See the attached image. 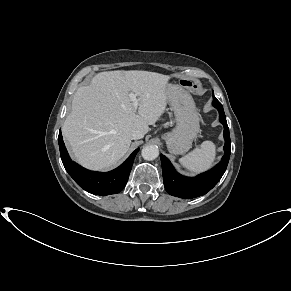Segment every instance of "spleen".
<instances>
[{
  "label": "spleen",
  "instance_id": "obj_1",
  "mask_svg": "<svg viewBox=\"0 0 291 291\" xmlns=\"http://www.w3.org/2000/svg\"><path fill=\"white\" fill-rule=\"evenodd\" d=\"M216 156V146L212 141H204L200 147L182 157L179 162L181 165L194 173L208 170Z\"/></svg>",
  "mask_w": 291,
  "mask_h": 291
}]
</instances>
